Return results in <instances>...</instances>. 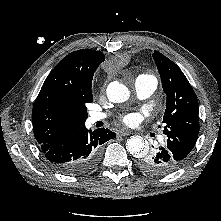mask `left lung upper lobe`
<instances>
[{
    "label": "left lung upper lobe",
    "instance_id": "obj_1",
    "mask_svg": "<svg viewBox=\"0 0 221 221\" xmlns=\"http://www.w3.org/2000/svg\"><path fill=\"white\" fill-rule=\"evenodd\" d=\"M153 58L167 95L163 116V133L167 136L165 144L183 163L198 138V100L187 78L174 62L158 51L153 53Z\"/></svg>",
    "mask_w": 221,
    "mask_h": 221
}]
</instances>
